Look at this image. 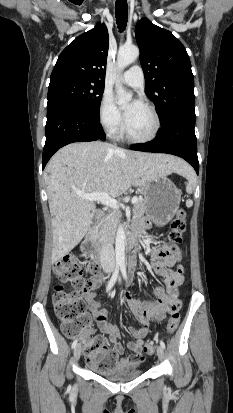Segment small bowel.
<instances>
[{"label": "small bowel", "instance_id": "small-bowel-1", "mask_svg": "<svg viewBox=\"0 0 233 413\" xmlns=\"http://www.w3.org/2000/svg\"><path fill=\"white\" fill-rule=\"evenodd\" d=\"M148 222L141 220L137 223L139 229L146 228ZM152 266L154 271L163 278L165 288L156 287L153 291L155 295L154 302H141L132 297L131 292L127 291L121 295V299L126 303L132 317L141 324L139 329L129 328V332L136 341L127 343V347L133 354L127 358H119L124 353V347L119 342L120 330L110 320L105 309L95 300V289L98 287L100 280L95 279L92 286L84 291V299L93 313L101 331L107 335L108 341L113 345V352L117 357V370L138 367L144 359V337L147 335L150 322L161 321L166 313H171V308L181 306L178 299V288L183 283V268L173 269L176 259L169 254L166 246H158L151 251Z\"/></svg>", "mask_w": 233, "mask_h": 413}]
</instances>
